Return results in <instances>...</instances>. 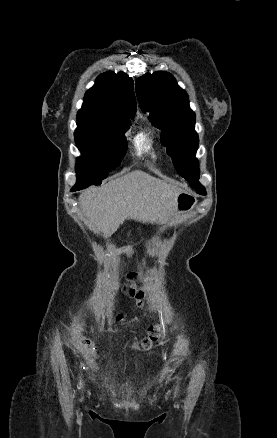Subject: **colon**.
Returning <instances> with one entry per match:
<instances>
[{
	"mask_svg": "<svg viewBox=\"0 0 277 438\" xmlns=\"http://www.w3.org/2000/svg\"><path fill=\"white\" fill-rule=\"evenodd\" d=\"M120 278H124L125 280L132 282V283H137L141 280L140 277H138L134 274H128V275H125V276L120 277ZM122 291L125 295H127L129 298H132V299L142 297V293H137L134 289L127 287V286L123 287ZM90 304H93V300H90ZM137 306L141 309L145 308V304L140 302V301L137 303ZM119 321L121 323L131 325V322L128 321V319L125 315H121L119 317ZM89 326L91 329L86 332L85 337L88 341L93 342L98 337V334L96 331L101 328L102 323L99 319L94 318L90 321ZM163 328H164V326L160 325V324L150 326L148 329L147 335L144 336L143 338L139 339L138 342L141 344L142 347H144L147 350L152 349L156 345H161L164 341Z\"/></svg>",
	"mask_w": 277,
	"mask_h": 438,
	"instance_id": "colon-1",
	"label": "colon"
}]
</instances>
